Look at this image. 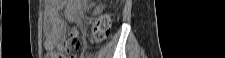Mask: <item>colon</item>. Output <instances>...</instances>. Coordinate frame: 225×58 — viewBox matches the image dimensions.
<instances>
[{
    "mask_svg": "<svg viewBox=\"0 0 225 58\" xmlns=\"http://www.w3.org/2000/svg\"><path fill=\"white\" fill-rule=\"evenodd\" d=\"M110 34V18L108 15H101L97 18L94 24V28L91 35V41L93 43H101L103 42ZM80 47L79 39L71 34L67 39L62 52L71 53L73 51L78 50Z\"/></svg>",
    "mask_w": 225,
    "mask_h": 58,
    "instance_id": "5ec220e1",
    "label": "colon"
}]
</instances>
